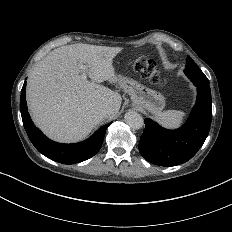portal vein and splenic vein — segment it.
<instances>
[{
    "instance_id": "portal-vein-and-splenic-vein-1",
    "label": "portal vein and splenic vein",
    "mask_w": 232,
    "mask_h": 232,
    "mask_svg": "<svg viewBox=\"0 0 232 232\" xmlns=\"http://www.w3.org/2000/svg\"><path fill=\"white\" fill-rule=\"evenodd\" d=\"M78 66H79V68H80L81 71H82L81 79L87 80V74H86L87 66L84 65V64H78Z\"/></svg>"
}]
</instances>
